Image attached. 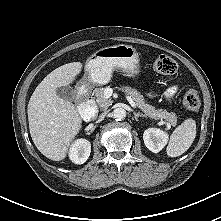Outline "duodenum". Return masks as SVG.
Returning a JSON list of instances; mask_svg holds the SVG:
<instances>
[{
    "instance_id": "410a0bca",
    "label": "duodenum",
    "mask_w": 221,
    "mask_h": 221,
    "mask_svg": "<svg viewBox=\"0 0 221 221\" xmlns=\"http://www.w3.org/2000/svg\"><path fill=\"white\" fill-rule=\"evenodd\" d=\"M80 113L84 119H91L97 115V107L95 101L87 94L81 102Z\"/></svg>"
}]
</instances>
